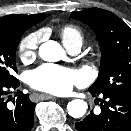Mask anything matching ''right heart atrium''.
I'll list each match as a JSON object with an SVG mask.
<instances>
[{
	"mask_svg": "<svg viewBox=\"0 0 131 131\" xmlns=\"http://www.w3.org/2000/svg\"><path fill=\"white\" fill-rule=\"evenodd\" d=\"M42 37L43 34L41 31H35L21 39L18 52L22 61H31L36 57Z\"/></svg>",
	"mask_w": 131,
	"mask_h": 131,
	"instance_id": "1",
	"label": "right heart atrium"
}]
</instances>
